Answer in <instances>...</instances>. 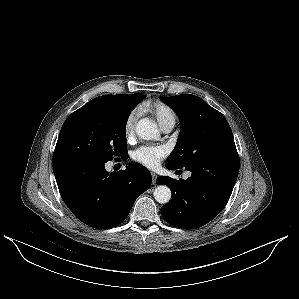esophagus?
Listing matches in <instances>:
<instances>
[{"instance_id":"esophagus-1","label":"esophagus","mask_w":299,"mask_h":299,"mask_svg":"<svg viewBox=\"0 0 299 299\" xmlns=\"http://www.w3.org/2000/svg\"><path fill=\"white\" fill-rule=\"evenodd\" d=\"M151 177H152V184L155 185L156 184L157 175L152 172L151 173Z\"/></svg>"}]
</instances>
